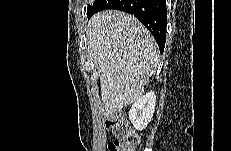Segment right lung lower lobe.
<instances>
[{"label":"right lung lower lobe","mask_w":231,"mask_h":151,"mask_svg":"<svg viewBox=\"0 0 231 151\" xmlns=\"http://www.w3.org/2000/svg\"><path fill=\"white\" fill-rule=\"evenodd\" d=\"M117 9L134 15L149 29L162 54L166 41L167 9L165 0H95L87 8L90 18L98 11Z\"/></svg>","instance_id":"right-lung-lower-lobe-1"}]
</instances>
